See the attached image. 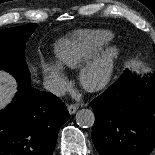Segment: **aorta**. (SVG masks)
<instances>
[{
    "mask_svg": "<svg viewBox=\"0 0 155 155\" xmlns=\"http://www.w3.org/2000/svg\"><path fill=\"white\" fill-rule=\"evenodd\" d=\"M95 116L90 109H81L76 114V123L82 128H89L94 125Z\"/></svg>",
    "mask_w": 155,
    "mask_h": 155,
    "instance_id": "aorta-1",
    "label": "aorta"
}]
</instances>
